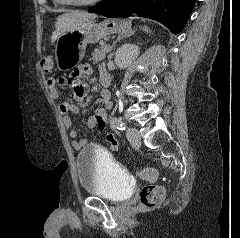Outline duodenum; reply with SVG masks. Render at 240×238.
Here are the masks:
<instances>
[{
	"label": "duodenum",
	"mask_w": 240,
	"mask_h": 238,
	"mask_svg": "<svg viewBox=\"0 0 240 238\" xmlns=\"http://www.w3.org/2000/svg\"><path fill=\"white\" fill-rule=\"evenodd\" d=\"M101 82H102L104 87H107L109 85L110 79H109V76L106 73H103L101 75Z\"/></svg>",
	"instance_id": "410a0bca"
}]
</instances>
